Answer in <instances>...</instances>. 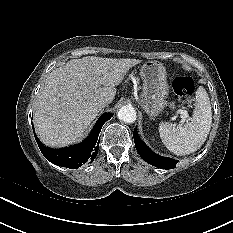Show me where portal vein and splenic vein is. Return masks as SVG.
Masks as SVG:
<instances>
[{
	"label": "portal vein and splenic vein",
	"instance_id": "1",
	"mask_svg": "<svg viewBox=\"0 0 233 233\" xmlns=\"http://www.w3.org/2000/svg\"><path fill=\"white\" fill-rule=\"evenodd\" d=\"M177 114H180L181 116V121H180L181 124L184 123L189 118V114L186 110L179 109L177 111Z\"/></svg>",
	"mask_w": 233,
	"mask_h": 233
}]
</instances>
